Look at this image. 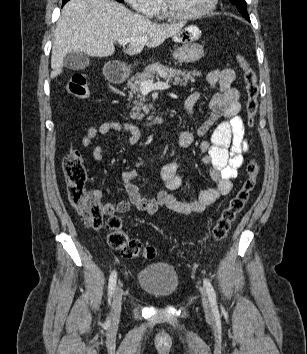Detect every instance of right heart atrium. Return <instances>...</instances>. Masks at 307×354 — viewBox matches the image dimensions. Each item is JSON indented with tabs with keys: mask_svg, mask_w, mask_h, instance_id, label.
Listing matches in <instances>:
<instances>
[{
	"mask_svg": "<svg viewBox=\"0 0 307 354\" xmlns=\"http://www.w3.org/2000/svg\"><path fill=\"white\" fill-rule=\"evenodd\" d=\"M125 2L135 11L148 17L156 15L161 6L160 0H125Z\"/></svg>",
	"mask_w": 307,
	"mask_h": 354,
	"instance_id": "right-heart-atrium-1",
	"label": "right heart atrium"
}]
</instances>
